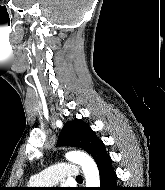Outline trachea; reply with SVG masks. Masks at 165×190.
Listing matches in <instances>:
<instances>
[{
	"label": "trachea",
	"instance_id": "trachea-1",
	"mask_svg": "<svg viewBox=\"0 0 165 190\" xmlns=\"http://www.w3.org/2000/svg\"><path fill=\"white\" fill-rule=\"evenodd\" d=\"M77 179H82V177H81V176H78Z\"/></svg>",
	"mask_w": 165,
	"mask_h": 190
}]
</instances>
